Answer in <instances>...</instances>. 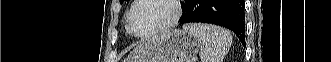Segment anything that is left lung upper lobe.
<instances>
[{
	"label": "left lung upper lobe",
	"mask_w": 331,
	"mask_h": 62,
	"mask_svg": "<svg viewBox=\"0 0 331 62\" xmlns=\"http://www.w3.org/2000/svg\"><path fill=\"white\" fill-rule=\"evenodd\" d=\"M124 0H120V3H122ZM187 2V0H185V3Z\"/></svg>",
	"instance_id": "obj_1"
}]
</instances>
